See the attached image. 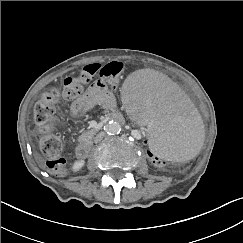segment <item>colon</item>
<instances>
[{
	"mask_svg": "<svg viewBox=\"0 0 243 243\" xmlns=\"http://www.w3.org/2000/svg\"><path fill=\"white\" fill-rule=\"evenodd\" d=\"M124 65L122 62L113 61L106 65L91 64L82 68L76 76L68 77L63 81L62 90L53 89L44 93L33 107L35 128L41 134L40 148L44 154L46 168L55 175H63L66 172V162L62 156L63 143L54 134L58 120L55 116L61 98L73 100L81 95L86 86L101 83L116 87L119 83ZM141 150L146 159L158 168H170L168 159H161L153 153L147 139L139 141ZM192 161L182 163L173 162L174 170L192 168Z\"/></svg>",
	"mask_w": 243,
	"mask_h": 243,
	"instance_id": "obj_1",
	"label": "colon"
}]
</instances>
